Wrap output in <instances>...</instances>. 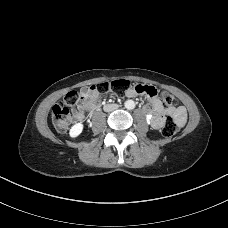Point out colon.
I'll return each mask as SVG.
<instances>
[{
  "label": "colon",
  "instance_id": "5ec220e1",
  "mask_svg": "<svg viewBox=\"0 0 228 228\" xmlns=\"http://www.w3.org/2000/svg\"><path fill=\"white\" fill-rule=\"evenodd\" d=\"M98 91H103L109 88L119 89H133L137 94L147 96L149 98L155 97L158 92L153 86L143 84H132L127 79H114L108 82L94 86ZM82 92L71 91L64 97L63 103H57L52 108V121L55 128L64 132L67 130L71 120V108L78 104L82 97ZM161 104L165 109H173L177 106L178 100L175 96L167 91H161L159 94ZM180 132V125L173 119L168 118L162 129L165 137H174Z\"/></svg>",
  "mask_w": 228,
  "mask_h": 228
}]
</instances>
